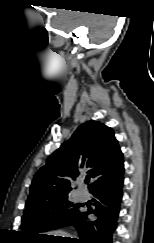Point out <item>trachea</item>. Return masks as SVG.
<instances>
[{
  "instance_id": "trachea-1",
  "label": "trachea",
  "mask_w": 154,
  "mask_h": 243,
  "mask_svg": "<svg viewBox=\"0 0 154 243\" xmlns=\"http://www.w3.org/2000/svg\"><path fill=\"white\" fill-rule=\"evenodd\" d=\"M89 180H90V179H89V177H87V178H86V180H85V182H86V183H88V182H89Z\"/></svg>"
}]
</instances>
